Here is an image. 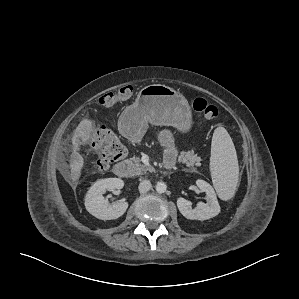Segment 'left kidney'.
<instances>
[{
	"label": "left kidney",
	"mask_w": 299,
	"mask_h": 299,
	"mask_svg": "<svg viewBox=\"0 0 299 299\" xmlns=\"http://www.w3.org/2000/svg\"><path fill=\"white\" fill-rule=\"evenodd\" d=\"M198 188L206 193L207 203L199 202L195 209L192 203L182 197L177 199V207L180 213L187 219L191 220H207L217 216L220 213V205L217 200L213 187L204 180H197Z\"/></svg>",
	"instance_id": "obj_1"
}]
</instances>
